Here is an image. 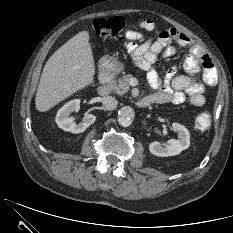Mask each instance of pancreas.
Wrapping results in <instances>:
<instances>
[{"instance_id": "pancreas-1", "label": "pancreas", "mask_w": 233, "mask_h": 233, "mask_svg": "<svg viewBox=\"0 0 233 233\" xmlns=\"http://www.w3.org/2000/svg\"><path fill=\"white\" fill-rule=\"evenodd\" d=\"M132 78L131 74H127L122 76V78H119L118 80H112L108 87L111 91H113L116 94L123 95L127 93L130 89L129 81Z\"/></svg>"}]
</instances>
